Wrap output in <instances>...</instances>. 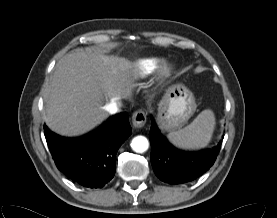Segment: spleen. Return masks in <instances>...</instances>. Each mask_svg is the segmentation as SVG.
<instances>
[{
    "instance_id": "3e777b00",
    "label": "spleen",
    "mask_w": 277,
    "mask_h": 218,
    "mask_svg": "<svg viewBox=\"0 0 277 218\" xmlns=\"http://www.w3.org/2000/svg\"><path fill=\"white\" fill-rule=\"evenodd\" d=\"M215 116L212 110L202 111L192 123L178 131L170 132L167 137L175 146L185 149L205 147L212 138Z\"/></svg>"
}]
</instances>
